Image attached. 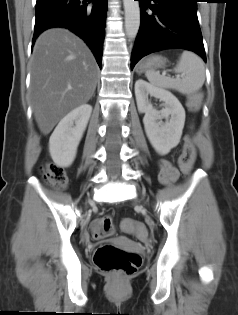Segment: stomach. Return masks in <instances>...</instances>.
Listing matches in <instances>:
<instances>
[{"mask_svg":"<svg viewBox=\"0 0 238 315\" xmlns=\"http://www.w3.org/2000/svg\"><path fill=\"white\" fill-rule=\"evenodd\" d=\"M166 65V59L159 55H153L145 58L137 68L138 73H142L148 70H157L164 68Z\"/></svg>","mask_w":238,"mask_h":315,"instance_id":"obj_1","label":"stomach"}]
</instances>
